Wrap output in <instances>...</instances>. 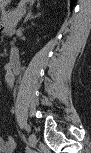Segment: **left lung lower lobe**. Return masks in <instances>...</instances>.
Masks as SVG:
<instances>
[{
	"instance_id": "left-lung-lower-lobe-1",
	"label": "left lung lower lobe",
	"mask_w": 91,
	"mask_h": 153,
	"mask_svg": "<svg viewBox=\"0 0 91 153\" xmlns=\"http://www.w3.org/2000/svg\"><path fill=\"white\" fill-rule=\"evenodd\" d=\"M75 3H76V0H71V9Z\"/></svg>"
}]
</instances>
